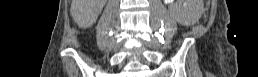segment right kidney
Masks as SVG:
<instances>
[{
  "mask_svg": "<svg viewBox=\"0 0 258 77\" xmlns=\"http://www.w3.org/2000/svg\"><path fill=\"white\" fill-rule=\"evenodd\" d=\"M101 4L99 5V7H94L93 9L90 10L91 13V18L90 21L87 25L91 24L93 21H95L96 17L98 16V14L101 12V9L105 3V0H100ZM87 25H82V26H87Z\"/></svg>",
  "mask_w": 258,
  "mask_h": 77,
  "instance_id": "obj_1",
  "label": "right kidney"
}]
</instances>
